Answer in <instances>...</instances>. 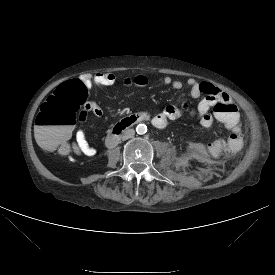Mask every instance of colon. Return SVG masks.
<instances>
[{
  "label": "colon",
  "mask_w": 275,
  "mask_h": 275,
  "mask_svg": "<svg viewBox=\"0 0 275 275\" xmlns=\"http://www.w3.org/2000/svg\"><path fill=\"white\" fill-rule=\"evenodd\" d=\"M136 85L144 88L149 85L147 74L136 76ZM88 88L81 80H71L60 84L51 96L42 104L36 118V138L39 145L45 150L59 148L66 152L70 149L67 138L76 124L78 112L87 103ZM216 119L225 129H235L242 123V114L235 104L230 101H220L215 106ZM86 111L80 115L83 121ZM228 138V137H227Z\"/></svg>",
  "instance_id": "obj_1"
}]
</instances>
